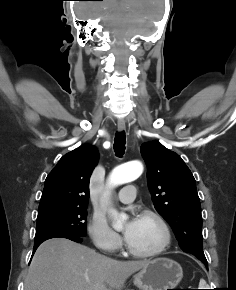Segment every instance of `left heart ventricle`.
<instances>
[{"label":"left heart ventricle","instance_id":"left-heart-ventricle-1","mask_svg":"<svg viewBox=\"0 0 236 290\" xmlns=\"http://www.w3.org/2000/svg\"><path fill=\"white\" fill-rule=\"evenodd\" d=\"M162 237V231L153 219L139 217L138 225L128 243L137 250L149 251L161 243Z\"/></svg>","mask_w":236,"mask_h":290}]
</instances>
